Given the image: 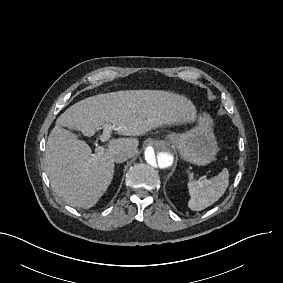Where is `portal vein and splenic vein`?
Returning a JSON list of instances; mask_svg holds the SVG:
<instances>
[{
	"instance_id": "obj_1",
	"label": "portal vein and splenic vein",
	"mask_w": 283,
	"mask_h": 283,
	"mask_svg": "<svg viewBox=\"0 0 283 283\" xmlns=\"http://www.w3.org/2000/svg\"><path fill=\"white\" fill-rule=\"evenodd\" d=\"M112 130H116L115 125L111 124H104L103 126V133L100 135V139L102 142L107 141L110 138ZM104 150L103 147H98V151Z\"/></svg>"
}]
</instances>
